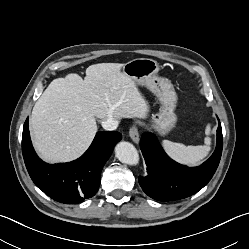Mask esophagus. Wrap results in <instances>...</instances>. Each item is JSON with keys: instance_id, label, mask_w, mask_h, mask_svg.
Masks as SVG:
<instances>
[{"instance_id": "34e87169", "label": "esophagus", "mask_w": 249, "mask_h": 249, "mask_svg": "<svg viewBox=\"0 0 249 249\" xmlns=\"http://www.w3.org/2000/svg\"><path fill=\"white\" fill-rule=\"evenodd\" d=\"M129 136L135 143H138L140 140L139 131L136 125H133L129 130Z\"/></svg>"}]
</instances>
